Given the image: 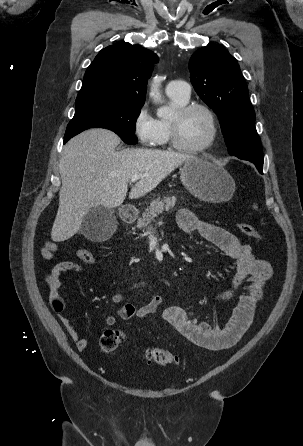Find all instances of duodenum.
Listing matches in <instances>:
<instances>
[{
	"instance_id": "duodenum-1",
	"label": "duodenum",
	"mask_w": 303,
	"mask_h": 446,
	"mask_svg": "<svg viewBox=\"0 0 303 446\" xmlns=\"http://www.w3.org/2000/svg\"><path fill=\"white\" fill-rule=\"evenodd\" d=\"M136 212L131 208H124L121 213L123 221L129 223L135 219Z\"/></svg>"
}]
</instances>
